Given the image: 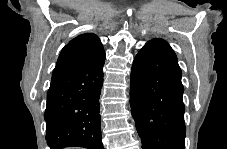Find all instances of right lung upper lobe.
<instances>
[{
  "label": "right lung upper lobe",
  "mask_w": 227,
  "mask_h": 149,
  "mask_svg": "<svg viewBox=\"0 0 227 149\" xmlns=\"http://www.w3.org/2000/svg\"><path fill=\"white\" fill-rule=\"evenodd\" d=\"M104 58L103 45L95 34L78 35L62 49L52 77L96 64Z\"/></svg>",
  "instance_id": "obj_1"
}]
</instances>
